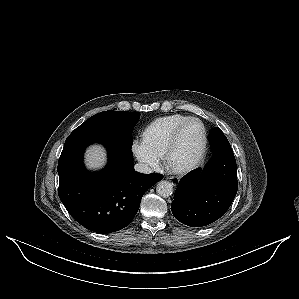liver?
<instances>
[{"mask_svg": "<svg viewBox=\"0 0 299 299\" xmlns=\"http://www.w3.org/2000/svg\"><path fill=\"white\" fill-rule=\"evenodd\" d=\"M106 163V153L102 146L92 145L85 153V164L89 169L102 168Z\"/></svg>", "mask_w": 299, "mask_h": 299, "instance_id": "1", "label": "liver"}]
</instances>
